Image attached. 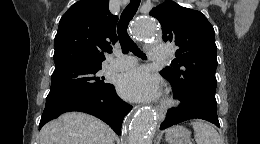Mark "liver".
<instances>
[{"label":"liver","instance_id":"liver-1","mask_svg":"<svg viewBox=\"0 0 260 144\" xmlns=\"http://www.w3.org/2000/svg\"><path fill=\"white\" fill-rule=\"evenodd\" d=\"M114 139L108 125L81 112L65 113L40 131V144H113Z\"/></svg>","mask_w":260,"mask_h":144}]
</instances>
